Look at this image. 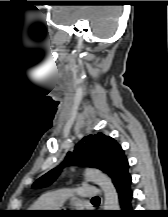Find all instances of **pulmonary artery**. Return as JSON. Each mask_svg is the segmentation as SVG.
<instances>
[{
	"label": "pulmonary artery",
	"instance_id": "obj_1",
	"mask_svg": "<svg viewBox=\"0 0 168 217\" xmlns=\"http://www.w3.org/2000/svg\"><path fill=\"white\" fill-rule=\"evenodd\" d=\"M101 189L96 186H82L77 189V196L80 199L90 200L101 195ZM71 196V191L68 189H57L46 193L42 200L50 205L53 209L62 206L68 197Z\"/></svg>",
	"mask_w": 168,
	"mask_h": 217
}]
</instances>
